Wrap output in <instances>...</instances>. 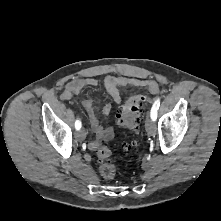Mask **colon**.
Returning <instances> with one entry per match:
<instances>
[{
  "label": "colon",
  "mask_w": 221,
  "mask_h": 221,
  "mask_svg": "<svg viewBox=\"0 0 221 221\" xmlns=\"http://www.w3.org/2000/svg\"><path fill=\"white\" fill-rule=\"evenodd\" d=\"M148 102V96L146 94H138L129 98L121 112L119 113V121L122 125L129 129L135 128L136 124L140 120L144 106ZM136 142H131L125 145V148L130 149L136 147ZM98 157L102 164L100 166V175L107 180L114 179L116 176L115 166L109 162L111 158L110 149L101 145L98 149Z\"/></svg>",
  "instance_id": "1"
}]
</instances>
